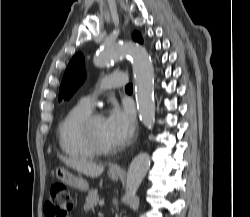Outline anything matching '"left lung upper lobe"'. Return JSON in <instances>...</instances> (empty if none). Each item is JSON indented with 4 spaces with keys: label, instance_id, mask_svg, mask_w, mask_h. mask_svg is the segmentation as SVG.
Listing matches in <instances>:
<instances>
[{
    "label": "left lung upper lobe",
    "instance_id": "5c2ea615",
    "mask_svg": "<svg viewBox=\"0 0 250 217\" xmlns=\"http://www.w3.org/2000/svg\"><path fill=\"white\" fill-rule=\"evenodd\" d=\"M133 39L142 43L140 33L135 32ZM84 80V57L81 53L76 54L70 61L59 90V101L69 99Z\"/></svg>",
    "mask_w": 250,
    "mask_h": 217
}]
</instances>
